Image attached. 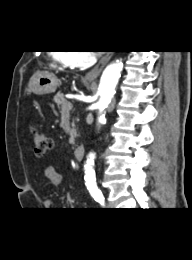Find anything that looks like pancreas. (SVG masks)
<instances>
[{
  "label": "pancreas",
  "instance_id": "1",
  "mask_svg": "<svg viewBox=\"0 0 192 260\" xmlns=\"http://www.w3.org/2000/svg\"><path fill=\"white\" fill-rule=\"evenodd\" d=\"M54 101L57 104V106L60 109V113H63V111L65 110V106L66 103L68 102L65 98L63 93L58 92L55 96H54ZM77 136L76 134V130L72 129L71 133H70V143L71 144H75V137Z\"/></svg>",
  "mask_w": 192,
  "mask_h": 260
}]
</instances>
